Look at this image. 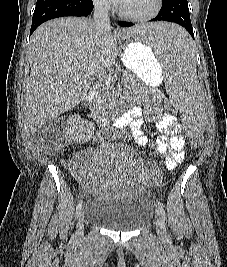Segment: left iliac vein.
Listing matches in <instances>:
<instances>
[{
	"label": "left iliac vein",
	"instance_id": "1",
	"mask_svg": "<svg viewBox=\"0 0 227 267\" xmlns=\"http://www.w3.org/2000/svg\"><path fill=\"white\" fill-rule=\"evenodd\" d=\"M155 220H156V232L158 236L165 237L166 227H165L163 216L158 209L155 212Z\"/></svg>",
	"mask_w": 227,
	"mask_h": 267
}]
</instances>
